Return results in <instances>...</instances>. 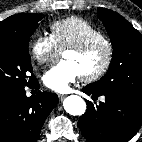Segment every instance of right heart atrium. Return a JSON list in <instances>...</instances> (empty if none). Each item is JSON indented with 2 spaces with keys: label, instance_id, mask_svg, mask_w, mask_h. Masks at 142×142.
<instances>
[{
  "label": "right heart atrium",
  "instance_id": "right-heart-atrium-1",
  "mask_svg": "<svg viewBox=\"0 0 142 142\" xmlns=\"http://www.w3.org/2000/svg\"><path fill=\"white\" fill-rule=\"evenodd\" d=\"M30 54L39 64H48L57 59L60 49L51 35L38 34L30 43Z\"/></svg>",
  "mask_w": 142,
  "mask_h": 142
}]
</instances>
